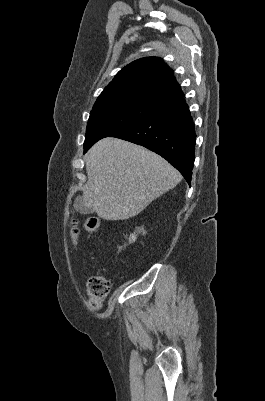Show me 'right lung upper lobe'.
I'll list each match as a JSON object with an SVG mask.
<instances>
[{
	"mask_svg": "<svg viewBox=\"0 0 265 401\" xmlns=\"http://www.w3.org/2000/svg\"><path fill=\"white\" fill-rule=\"evenodd\" d=\"M183 97L184 93L173 70L161 58L146 57L120 70L100 94L94 106L135 100L164 106Z\"/></svg>",
	"mask_w": 265,
	"mask_h": 401,
	"instance_id": "cb5924a9",
	"label": "right lung upper lobe"
}]
</instances>
